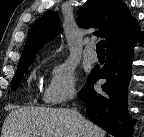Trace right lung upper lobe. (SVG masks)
I'll return each instance as SVG.
<instances>
[{
	"label": "right lung upper lobe",
	"instance_id": "1",
	"mask_svg": "<svg viewBox=\"0 0 144 137\" xmlns=\"http://www.w3.org/2000/svg\"><path fill=\"white\" fill-rule=\"evenodd\" d=\"M78 22L85 28L98 27V32L94 34L106 38V50L142 33L126 4L119 0H87L78 10ZM60 30L59 17L53 11L38 18L29 31L19 65L33 60L36 51L55 38Z\"/></svg>",
	"mask_w": 144,
	"mask_h": 137
}]
</instances>
